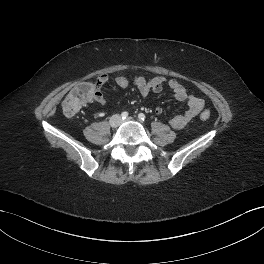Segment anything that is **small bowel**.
Listing matches in <instances>:
<instances>
[{"label":"small bowel","mask_w":264,"mask_h":264,"mask_svg":"<svg viewBox=\"0 0 264 264\" xmlns=\"http://www.w3.org/2000/svg\"><path fill=\"white\" fill-rule=\"evenodd\" d=\"M109 80L108 75L101 74L97 77L95 86L96 94L94 100L97 103L105 104V99L100 92V88ZM115 84L120 88H126L130 84L134 85L142 96H147L150 93H159L164 85H167L173 92L176 100L185 102L187 109L182 115L174 116L170 120V125L175 129L184 128L194 117H196L204 108V101L196 96L189 94L186 89L175 79H168L165 76H156L145 78L142 76L128 77L119 75L115 78ZM156 114L162 113L161 107L155 108Z\"/></svg>","instance_id":"obj_1"}]
</instances>
